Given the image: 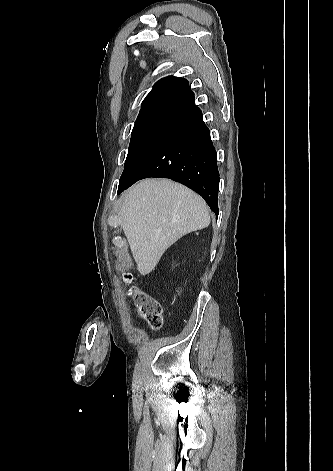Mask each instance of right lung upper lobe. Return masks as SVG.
<instances>
[{"label":"right lung upper lobe","instance_id":"right-lung-upper-lobe-1","mask_svg":"<svg viewBox=\"0 0 333 471\" xmlns=\"http://www.w3.org/2000/svg\"><path fill=\"white\" fill-rule=\"evenodd\" d=\"M195 107L188 81L169 76L158 81L144 99L138 117H162L179 120Z\"/></svg>","mask_w":333,"mask_h":471}]
</instances>
